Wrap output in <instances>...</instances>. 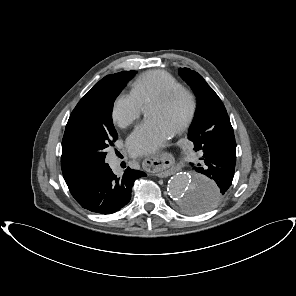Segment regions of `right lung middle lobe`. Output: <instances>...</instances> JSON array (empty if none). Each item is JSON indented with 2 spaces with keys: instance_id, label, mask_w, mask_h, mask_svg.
I'll return each mask as SVG.
<instances>
[{
  "instance_id": "right-lung-middle-lobe-1",
  "label": "right lung middle lobe",
  "mask_w": 296,
  "mask_h": 296,
  "mask_svg": "<svg viewBox=\"0 0 296 296\" xmlns=\"http://www.w3.org/2000/svg\"><path fill=\"white\" fill-rule=\"evenodd\" d=\"M134 74L123 71L104 77L77 104L74 122L66 126L62 140L63 174L80 176L105 163L107 148L118 138L113 103Z\"/></svg>"
}]
</instances>
